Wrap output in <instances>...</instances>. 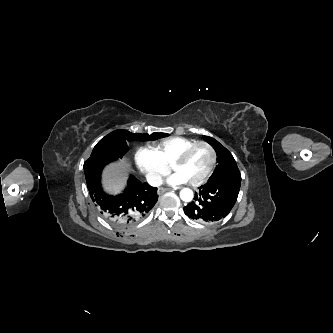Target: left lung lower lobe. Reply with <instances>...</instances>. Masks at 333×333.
Returning a JSON list of instances; mask_svg holds the SVG:
<instances>
[{
	"mask_svg": "<svg viewBox=\"0 0 333 333\" xmlns=\"http://www.w3.org/2000/svg\"><path fill=\"white\" fill-rule=\"evenodd\" d=\"M241 185L239 170L224 172L199 187L194 200L184 207L185 214L202 223L226 217L235 205Z\"/></svg>",
	"mask_w": 333,
	"mask_h": 333,
	"instance_id": "left-lung-lower-lobe-1",
	"label": "left lung lower lobe"
}]
</instances>
